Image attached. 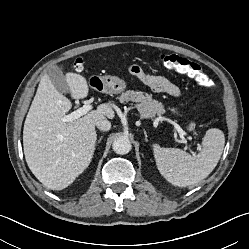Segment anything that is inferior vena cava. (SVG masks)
<instances>
[{"mask_svg":"<svg viewBox=\"0 0 249 249\" xmlns=\"http://www.w3.org/2000/svg\"><path fill=\"white\" fill-rule=\"evenodd\" d=\"M96 126L101 131H108L111 128V123L104 117L96 122Z\"/></svg>","mask_w":249,"mask_h":249,"instance_id":"obj_1","label":"inferior vena cava"}]
</instances>
